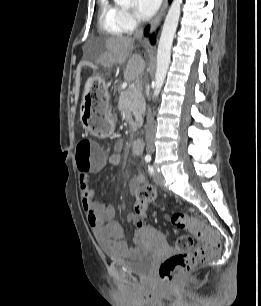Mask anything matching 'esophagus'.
I'll return each instance as SVG.
<instances>
[{"instance_id": "1", "label": "esophagus", "mask_w": 261, "mask_h": 306, "mask_svg": "<svg viewBox=\"0 0 261 306\" xmlns=\"http://www.w3.org/2000/svg\"><path fill=\"white\" fill-rule=\"evenodd\" d=\"M167 6H168V0H164L160 10L158 11V13L156 14V16L154 17V19L151 22L150 32L155 31L157 26L160 24L165 12H166ZM145 44L149 45L148 39H145Z\"/></svg>"}]
</instances>
